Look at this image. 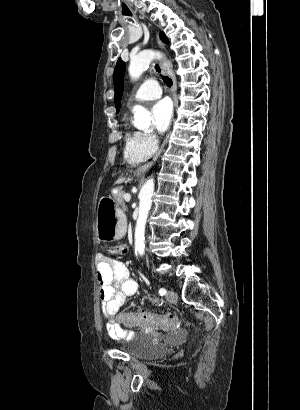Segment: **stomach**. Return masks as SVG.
<instances>
[{"label": "stomach", "instance_id": "0dacf381", "mask_svg": "<svg viewBox=\"0 0 300 410\" xmlns=\"http://www.w3.org/2000/svg\"><path fill=\"white\" fill-rule=\"evenodd\" d=\"M97 237L112 242L121 239L126 232V216L111 198H102L97 208Z\"/></svg>", "mask_w": 300, "mask_h": 410}]
</instances>
